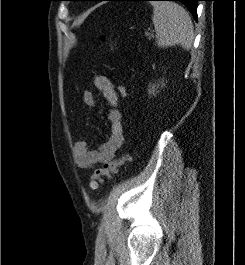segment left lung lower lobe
Segmentation results:
<instances>
[{
	"instance_id": "obj_1",
	"label": "left lung lower lobe",
	"mask_w": 245,
	"mask_h": 265,
	"mask_svg": "<svg viewBox=\"0 0 245 265\" xmlns=\"http://www.w3.org/2000/svg\"><path fill=\"white\" fill-rule=\"evenodd\" d=\"M82 1H152V0H82ZM169 1H180L188 7L193 14L194 18H197V5L198 1L201 0H169Z\"/></svg>"
}]
</instances>
